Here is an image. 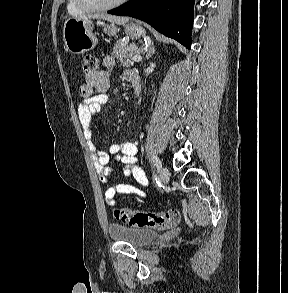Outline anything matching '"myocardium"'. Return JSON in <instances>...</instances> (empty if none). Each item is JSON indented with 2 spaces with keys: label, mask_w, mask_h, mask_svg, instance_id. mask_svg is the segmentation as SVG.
<instances>
[{
  "label": "myocardium",
  "mask_w": 288,
  "mask_h": 293,
  "mask_svg": "<svg viewBox=\"0 0 288 293\" xmlns=\"http://www.w3.org/2000/svg\"><path fill=\"white\" fill-rule=\"evenodd\" d=\"M127 0H116L108 4H94L87 0H75L76 4L85 11H104L116 8L124 4Z\"/></svg>",
  "instance_id": "myocardium-1"
}]
</instances>
